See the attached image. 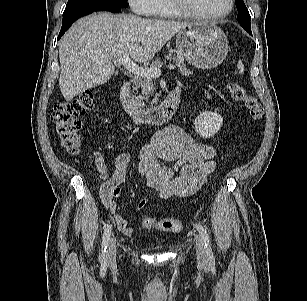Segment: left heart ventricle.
<instances>
[{"mask_svg": "<svg viewBox=\"0 0 307 301\" xmlns=\"http://www.w3.org/2000/svg\"><path fill=\"white\" fill-rule=\"evenodd\" d=\"M195 12L205 15L224 13L229 8V0H186Z\"/></svg>", "mask_w": 307, "mask_h": 301, "instance_id": "b2bd125f", "label": "left heart ventricle"}]
</instances>
